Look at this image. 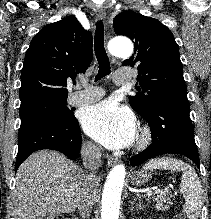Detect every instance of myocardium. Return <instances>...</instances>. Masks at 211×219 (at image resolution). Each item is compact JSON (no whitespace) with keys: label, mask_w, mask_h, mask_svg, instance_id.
Segmentation results:
<instances>
[{"label":"myocardium","mask_w":211,"mask_h":219,"mask_svg":"<svg viewBox=\"0 0 211 219\" xmlns=\"http://www.w3.org/2000/svg\"><path fill=\"white\" fill-rule=\"evenodd\" d=\"M151 138L150 130L147 127L142 128L137 141V148L139 150L145 149L150 144Z\"/></svg>","instance_id":"obj_1"}]
</instances>
